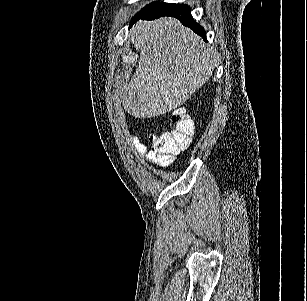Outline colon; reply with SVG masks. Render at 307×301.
I'll list each match as a JSON object with an SVG mask.
<instances>
[{
    "label": "colon",
    "instance_id": "obj_1",
    "mask_svg": "<svg viewBox=\"0 0 307 301\" xmlns=\"http://www.w3.org/2000/svg\"><path fill=\"white\" fill-rule=\"evenodd\" d=\"M171 119L173 123L171 131L150 137L152 151L164 164L172 163L175 155L189 146L194 133L193 121L182 108L174 110Z\"/></svg>",
    "mask_w": 307,
    "mask_h": 301
}]
</instances>
